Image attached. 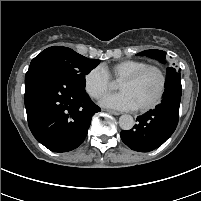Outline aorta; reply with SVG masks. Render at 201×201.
<instances>
[{"label": "aorta", "instance_id": "762f6f07", "mask_svg": "<svg viewBox=\"0 0 201 201\" xmlns=\"http://www.w3.org/2000/svg\"><path fill=\"white\" fill-rule=\"evenodd\" d=\"M119 126L123 130H130L134 126V119L131 115L124 114L119 118Z\"/></svg>", "mask_w": 201, "mask_h": 201}]
</instances>
